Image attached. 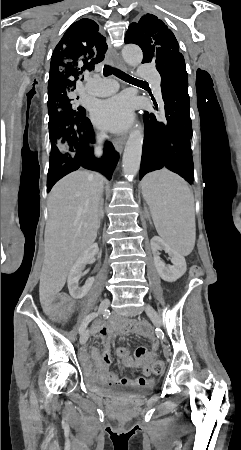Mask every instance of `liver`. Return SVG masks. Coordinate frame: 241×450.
Instances as JSON below:
<instances>
[{"mask_svg": "<svg viewBox=\"0 0 241 450\" xmlns=\"http://www.w3.org/2000/svg\"><path fill=\"white\" fill-rule=\"evenodd\" d=\"M101 190L98 176L77 170L59 180L48 196L49 220L39 286L45 308L65 286L75 260L97 238Z\"/></svg>", "mask_w": 241, "mask_h": 450, "instance_id": "liver-1", "label": "liver"}]
</instances>
